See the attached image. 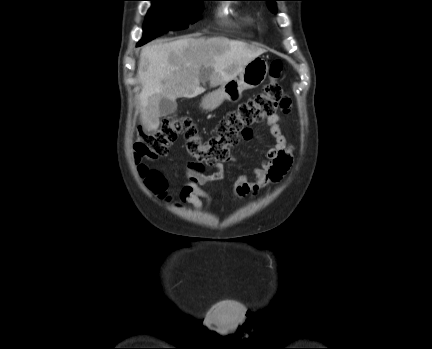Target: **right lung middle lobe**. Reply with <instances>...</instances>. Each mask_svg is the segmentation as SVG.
Segmentation results:
<instances>
[{
	"instance_id": "obj_1",
	"label": "right lung middle lobe",
	"mask_w": 432,
	"mask_h": 349,
	"mask_svg": "<svg viewBox=\"0 0 432 349\" xmlns=\"http://www.w3.org/2000/svg\"><path fill=\"white\" fill-rule=\"evenodd\" d=\"M152 7L147 13L144 35L138 46L154 39L167 30L187 28L200 17L201 2L207 0H149Z\"/></svg>"
}]
</instances>
